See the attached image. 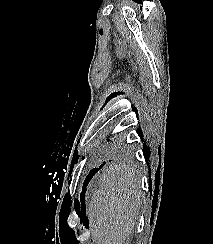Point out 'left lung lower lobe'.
Wrapping results in <instances>:
<instances>
[{
  "label": "left lung lower lobe",
  "mask_w": 213,
  "mask_h": 244,
  "mask_svg": "<svg viewBox=\"0 0 213 244\" xmlns=\"http://www.w3.org/2000/svg\"><path fill=\"white\" fill-rule=\"evenodd\" d=\"M104 164H105V163L101 164L99 168H94L93 170L90 171V173L88 174V176L86 177V179H85V181H84V184H83V191H85V189H86V187H87L89 181H90L91 178L93 177V175H94L98 170H100V169L103 167ZM84 194H85V192H84Z\"/></svg>",
  "instance_id": "1"
}]
</instances>
